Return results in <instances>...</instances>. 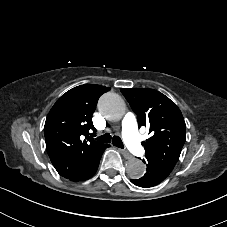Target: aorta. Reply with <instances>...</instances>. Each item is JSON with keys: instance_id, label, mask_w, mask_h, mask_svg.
<instances>
[{"instance_id": "1", "label": "aorta", "mask_w": 227, "mask_h": 227, "mask_svg": "<svg viewBox=\"0 0 227 227\" xmlns=\"http://www.w3.org/2000/svg\"><path fill=\"white\" fill-rule=\"evenodd\" d=\"M98 109L107 119L117 120L125 114V102L118 94L108 92L99 99ZM145 171V165L140 159L132 158L126 163V172L130 178L138 179Z\"/></svg>"}]
</instances>
